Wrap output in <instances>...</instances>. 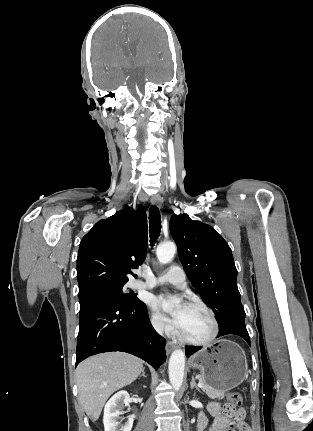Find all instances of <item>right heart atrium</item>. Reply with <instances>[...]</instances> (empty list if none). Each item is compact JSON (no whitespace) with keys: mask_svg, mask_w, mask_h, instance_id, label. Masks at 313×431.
<instances>
[{"mask_svg":"<svg viewBox=\"0 0 313 431\" xmlns=\"http://www.w3.org/2000/svg\"><path fill=\"white\" fill-rule=\"evenodd\" d=\"M151 325L153 329L158 333H168L170 332V327L164 322V320L156 315L153 314L150 318Z\"/></svg>","mask_w":313,"mask_h":431,"instance_id":"1","label":"right heart atrium"}]
</instances>
